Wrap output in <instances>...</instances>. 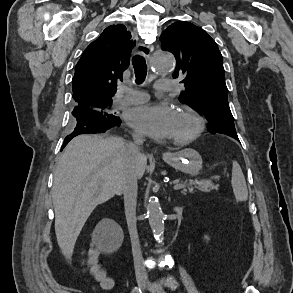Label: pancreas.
<instances>
[{
	"mask_svg": "<svg viewBox=\"0 0 293 293\" xmlns=\"http://www.w3.org/2000/svg\"><path fill=\"white\" fill-rule=\"evenodd\" d=\"M176 183V181H175ZM185 187L182 191L183 194H186L187 191L190 193L194 192V189H197L201 192H211L213 189L217 190L218 185H215L211 182V180H190L184 182Z\"/></svg>",
	"mask_w": 293,
	"mask_h": 293,
	"instance_id": "1",
	"label": "pancreas"
}]
</instances>
